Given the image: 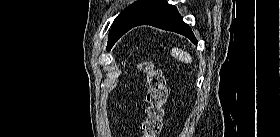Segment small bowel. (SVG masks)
Masks as SVG:
<instances>
[{
    "instance_id": "1",
    "label": "small bowel",
    "mask_w": 280,
    "mask_h": 137,
    "mask_svg": "<svg viewBox=\"0 0 280 137\" xmlns=\"http://www.w3.org/2000/svg\"><path fill=\"white\" fill-rule=\"evenodd\" d=\"M133 118H134V117H133V116H131V117L129 118V122H130V121H132V120H133Z\"/></svg>"
}]
</instances>
